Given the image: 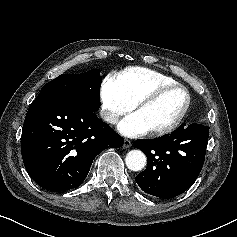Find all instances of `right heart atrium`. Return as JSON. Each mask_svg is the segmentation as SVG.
Wrapping results in <instances>:
<instances>
[{
	"mask_svg": "<svg viewBox=\"0 0 237 237\" xmlns=\"http://www.w3.org/2000/svg\"><path fill=\"white\" fill-rule=\"evenodd\" d=\"M101 116L108 124L131 111L134 104L124 95L113 75L104 78L100 85Z\"/></svg>",
	"mask_w": 237,
	"mask_h": 237,
	"instance_id": "d8ad5b80",
	"label": "right heart atrium"
}]
</instances>
